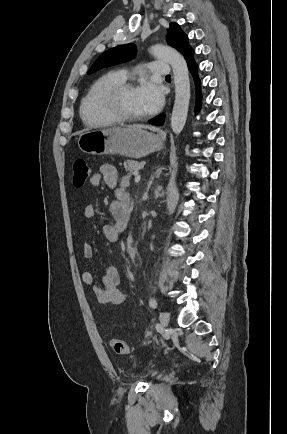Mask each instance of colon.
Returning <instances> with one entry per match:
<instances>
[{
  "mask_svg": "<svg viewBox=\"0 0 287 434\" xmlns=\"http://www.w3.org/2000/svg\"><path fill=\"white\" fill-rule=\"evenodd\" d=\"M90 175V169L85 160L77 159L73 163V185L81 187L85 184ZM111 349L120 355L131 353V347L125 341L118 338H111L109 341Z\"/></svg>",
  "mask_w": 287,
  "mask_h": 434,
  "instance_id": "5ec220e1",
  "label": "colon"
}]
</instances>
